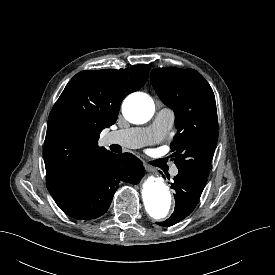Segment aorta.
I'll return each mask as SVG.
<instances>
[{
	"label": "aorta",
	"instance_id": "762f6f07",
	"mask_svg": "<svg viewBox=\"0 0 275 275\" xmlns=\"http://www.w3.org/2000/svg\"><path fill=\"white\" fill-rule=\"evenodd\" d=\"M124 117L131 123L143 124L151 119L155 112L153 99L144 93L129 96L123 103ZM142 198L147 213L154 219H164L169 214L173 199L169 187L162 177L151 175L142 184Z\"/></svg>",
	"mask_w": 275,
	"mask_h": 275
}]
</instances>
